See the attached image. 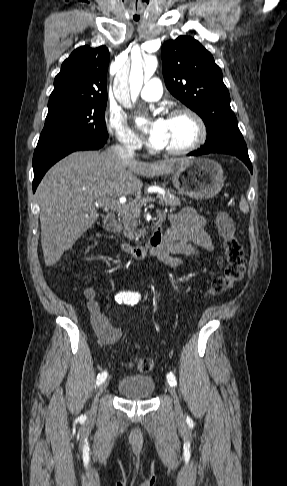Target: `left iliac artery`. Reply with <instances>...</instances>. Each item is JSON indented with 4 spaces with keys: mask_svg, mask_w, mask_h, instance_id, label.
Instances as JSON below:
<instances>
[{
    "mask_svg": "<svg viewBox=\"0 0 287 486\" xmlns=\"http://www.w3.org/2000/svg\"><path fill=\"white\" fill-rule=\"evenodd\" d=\"M138 301V298H134V299H130L127 301V304H136ZM167 379H168V382L170 383L171 386H176L177 385V381H176V377L175 375L172 373V372H169L167 374Z\"/></svg>",
    "mask_w": 287,
    "mask_h": 486,
    "instance_id": "left-iliac-artery-1",
    "label": "left iliac artery"
}]
</instances>
